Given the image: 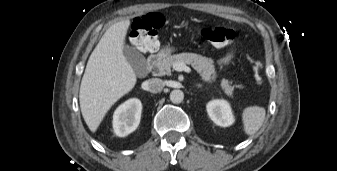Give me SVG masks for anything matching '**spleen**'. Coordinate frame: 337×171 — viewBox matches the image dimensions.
<instances>
[{
	"mask_svg": "<svg viewBox=\"0 0 337 171\" xmlns=\"http://www.w3.org/2000/svg\"><path fill=\"white\" fill-rule=\"evenodd\" d=\"M265 115L266 111L263 107L250 106L245 108L242 113L245 133L247 135L255 134L261 128Z\"/></svg>",
	"mask_w": 337,
	"mask_h": 171,
	"instance_id": "1",
	"label": "spleen"
}]
</instances>
